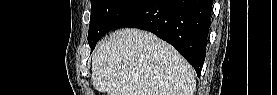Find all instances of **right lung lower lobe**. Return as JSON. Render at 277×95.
<instances>
[{"instance_id": "right-lung-lower-lobe-1", "label": "right lung lower lobe", "mask_w": 277, "mask_h": 95, "mask_svg": "<svg viewBox=\"0 0 277 95\" xmlns=\"http://www.w3.org/2000/svg\"><path fill=\"white\" fill-rule=\"evenodd\" d=\"M211 0H144L113 29L150 31L175 47L198 77L206 56Z\"/></svg>"}]
</instances>
